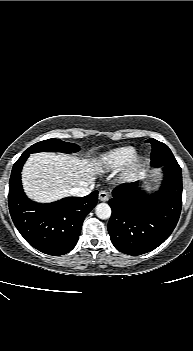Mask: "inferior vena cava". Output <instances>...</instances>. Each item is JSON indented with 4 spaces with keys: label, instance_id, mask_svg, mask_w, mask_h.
Returning <instances> with one entry per match:
<instances>
[{
    "label": "inferior vena cava",
    "instance_id": "1",
    "mask_svg": "<svg viewBox=\"0 0 193 351\" xmlns=\"http://www.w3.org/2000/svg\"><path fill=\"white\" fill-rule=\"evenodd\" d=\"M93 188H94V184L72 188L70 191V194L78 197H83L90 194Z\"/></svg>",
    "mask_w": 193,
    "mask_h": 351
}]
</instances>
